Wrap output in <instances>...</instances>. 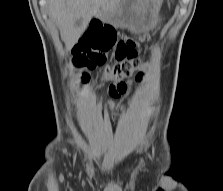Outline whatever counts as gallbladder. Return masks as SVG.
<instances>
[{
  "label": "gallbladder",
  "mask_w": 223,
  "mask_h": 191,
  "mask_svg": "<svg viewBox=\"0 0 223 191\" xmlns=\"http://www.w3.org/2000/svg\"><path fill=\"white\" fill-rule=\"evenodd\" d=\"M81 25H82V20H81V19H79V20H77V21L75 22V27H76V28H80Z\"/></svg>",
  "instance_id": "obj_1"
}]
</instances>
